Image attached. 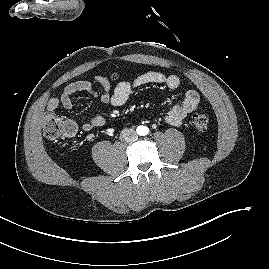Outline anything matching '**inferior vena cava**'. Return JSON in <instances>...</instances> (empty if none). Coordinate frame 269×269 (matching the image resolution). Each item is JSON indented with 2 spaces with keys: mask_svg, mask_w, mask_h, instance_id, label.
<instances>
[{
  "mask_svg": "<svg viewBox=\"0 0 269 269\" xmlns=\"http://www.w3.org/2000/svg\"><path fill=\"white\" fill-rule=\"evenodd\" d=\"M137 138V134L135 130L126 128L121 131L120 139L126 142H132L135 141Z\"/></svg>",
  "mask_w": 269,
  "mask_h": 269,
  "instance_id": "602c4592",
  "label": "inferior vena cava"
}]
</instances>
